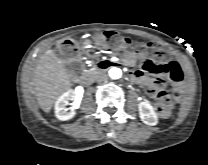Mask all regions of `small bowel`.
Returning <instances> with one entry per match:
<instances>
[{"label": "small bowel", "mask_w": 208, "mask_h": 165, "mask_svg": "<svg viewBox=\"0 0 208 165\" xmlns=\"http://www.w3.org/2000/svg\"><path fill=\"white\" fill-rule=\"evenodd\" d=\"M146 58L145 51H134L125 54V63L129 66H134L136 63L140 64L139 70L133 72L132 79L146 85L150 97H158V94L164 91L161 87L163 79H169L174 86L178 87L183 86L188 81V72L178 61H154Z\"/></svg>", "instance_id": "small-bowel-1"}]
</instances>
